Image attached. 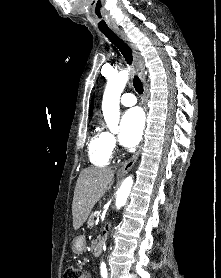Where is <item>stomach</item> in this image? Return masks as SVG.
I'll use <instances>...</instances> for the list:
<instances>
[{"mask_svg": "<svg viewBox=\"0 0 221 278\" xmlns=\"http://www.w3.org/2000/svg\"><path fill=\"white\" fill-rule=\"evenodd\" d=\"M86 241L84 236L76 237L71 244V249L73 253L79 255L82 254L85 249Z\"/></svg>", "mask_w": 221, "mask_h": 278, "instance_id": "obj_1", "label": "stomach"}]
</instances>
